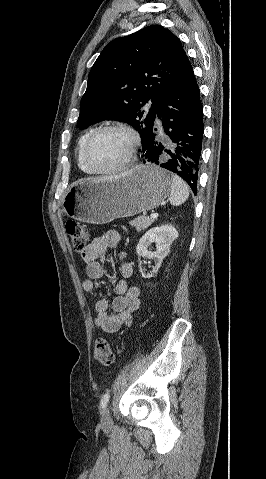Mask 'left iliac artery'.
<instances>
[{
  "label": "left iliac artery",
  "instance_id": "obj_1",
  "mask_svg": "<svg viewBox=\"0 0 266 479\" xmlns=\"http://www.w3.org/2000/svg\"><path fill=\"white\" fill-rule=\"evenodd\" d=\"M109 398H110V393L109 391H107L101 398V401H100V408L101 409H105L108 402H109Z\"/></svg>",
  "mask_w": 266,
  "mask_h": 479
}]
</instances>
